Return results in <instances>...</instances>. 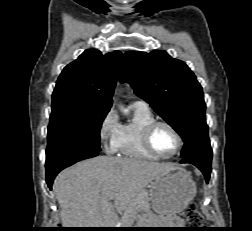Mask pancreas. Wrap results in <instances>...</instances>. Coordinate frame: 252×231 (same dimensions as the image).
I'll return each mask as SVG.
<instances>
[{"instance_id":"cf45deb5","label":"pancreas","mask_w":252,"mask_h":231,"mask_svg":"<svg viewBox=\"0 0 252 231\" xmlns=\"http://www.w3.org/2000/svg\"><path fill=\"white\" fill-rule=\"evenodd\" d=\"M134 205L138 207H147L149 205V195L146 191H142L134 200ZM129 220L124 216L122 218V224L125 225Z\"/></svg>"}]
</instances>
